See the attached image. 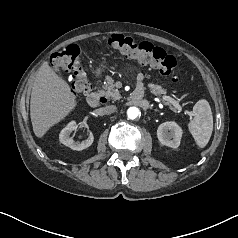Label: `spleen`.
Instances as JSON below:
<instances>
[{
    "label": "spleen",
    "instance_id": "3e777b00",
    "mask_svg": "<svg viewBox=\"0 0 238 238\" xmlns=\"http://www.w3.org/2000/svg\"><path fill=\"white\" fill-rule=\"evenodd\" d=\"M193 113L194 117L188 123V129L196 144L203 148L208 144L213 131V116L208 101L201 99L196 102Z\"/></svg>",
    "mask_w": 238,
    "mask_h": 238
}]
</instances>
